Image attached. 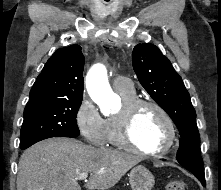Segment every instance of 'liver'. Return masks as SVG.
I'll use <instances>...</instances> for the list:
<instances>
[{
	"label": "liver",
	"instance_id": "6515ba94",
	"mask_svg": "<svg viewBox=\"0 0 221 190\" xmlns=\"http://www.w3.org/2000/svg\"><path fill=\"white\" fill-rule=\"evenodd\" d=\"M141 160L138 155L95 148L77 140L48 139L21 155L17 190H81L77 182L81 173H90L86 189L107 190Z\"/></svg>",
	"mask_w": 221,
	"mask_h": 190
}]
</instances>
